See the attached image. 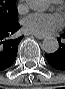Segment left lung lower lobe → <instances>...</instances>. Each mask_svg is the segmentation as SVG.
Returning <instances> with one entry per match:
<instances>
[{"instance_id":"0a47b994","label":"left lung lower lobe","mask_w":65,"mask_h":89,"mask_svg":"<svg viewBox=\"0 0 65 89\" xmlns=\"http://www.w3.org/2000/svg\"><path fill=\"white\" fill-rule=\"evenodd\" d=\"M59 49L55 53L45 54L46 60L55 69L65 71V32L58 38Z\"/></svg>"}]
</instances>
